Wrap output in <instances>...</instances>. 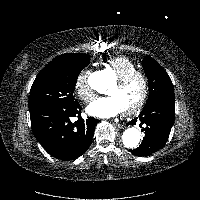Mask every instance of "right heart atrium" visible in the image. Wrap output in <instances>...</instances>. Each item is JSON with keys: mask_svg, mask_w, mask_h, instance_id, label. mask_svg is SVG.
Masks as SVG:
<instances>
[{"mask_svg": "<svg viewBox=\"0 0 200 200\" xmlns=\"http://www.w3.org/2000/svg\"><path fill=\"white\" fill-rule=\"evenodd\" d=\"M76 95L84 102H91L94 98V91L89 82V71L82 70L74 81Z\"/></svg>", "mask_w": 200, "mask_h": 200, "instance_id": "obj_1", "label": "right heart atrium"}]
</instances>
